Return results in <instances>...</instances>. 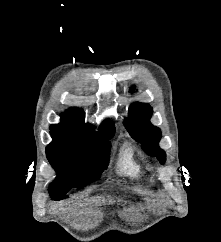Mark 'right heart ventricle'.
I'll use <instances>...</instances> for the list:
<instances>
[{
	"mask_svg": "<svg viewBox=\"0 0 221 242\" xmlns=\"http://www.w3.org/2000/svg\"><path fill=\"white\" fill-rule=\"evenodd\" d=\"M116 173L134 181H140L146 168L143 160L137 153L136 148L130 143H124L121 147L115 164Z\"/></svg>",
	"mask_w": 221,
	"mask_h": 242,
	"instance_id": "obj_1",
	"label": "right heart ventricle"
}]
</instances>
